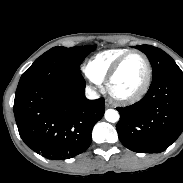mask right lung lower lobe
I'll return each instance as SVG.
<instances>
[{"label": "right lung lower lobe", "mask_w": 183, "mask_h": 183, "mask_svg": "<svg viewBox=\"0 0 183 183\" xmlns=\"http://www.w3.org/2000/svg\"><path fill=\"white\" fill-rule=\"evenodd\" d=\"M13 109L24 143L51 160L86 151L92 129L105 112L104 100L85 98L79 73L20 79Z\"/></svg>", "instance_id": "right-lung-lower-lobe-1"}]
</instances>
